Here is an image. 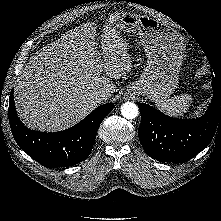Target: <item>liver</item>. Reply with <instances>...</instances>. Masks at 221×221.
<instances>
[{
    "instance_id": "obj_1",
    "label": "liver",
    "mask_w": 221,
    "mask_h": 221,
    "mask_svg": "<svg viewBox=\"0 0 221 221\" xmlns=\"http://www.w3.org/2000/svg\"><path fill=\"white\" fill-rule=\"evenodd\" d=\"M118 15L113 14L103 28L100 52L96 27L87 23L31 57L14 90L17 113L28 128L48 132L67 129L95 109L98 102L92 98L93 92L104 90L110 98L116 91L111 79L124 76L132 62L128 43L120 38L116 24H111Z\"/></svg>"
}]
</instances>
